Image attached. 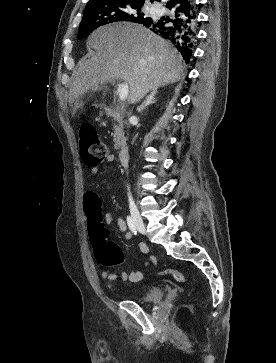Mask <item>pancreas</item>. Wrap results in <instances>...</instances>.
Masks as SVG:
<instances>
[{
  "instance_id": "cf45deb5",
  "label": "pancreas",
  "mask_w": 276,
  "mask_h": 363,
  "mask_svg": "<svg viewBox=\"0 0 276 363\" xmlns=\"http://www.w3.org/2000/svg\"><path fill=\"white\" fill-rule=\"evenodd\" d=\"M114 147L116 149H119L123 146L125 137H124V131H123V121L119 120L117 124H114Z\"/></svg>"
}]
</instances>
